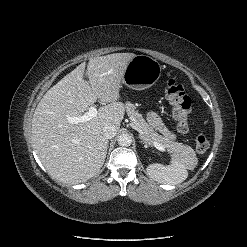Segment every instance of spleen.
Masks as SVG:
<instances>
[{"instance_id": "1", "label": "spleen", "mask_w": 247, "mask_h": 247, "mask_svg": "<svg viewBox=\"0 0 247 247\" xmlns=\"http://www.w3.org/2000/svg\"><path fill=\"white\" fill-rule=\"evenodd\" d=\"M193 162V158L176 157L169 165L152 163L147 167V174L158 183L177 185L187 179V169L192 167Z\"/></svg>"}]
</instances>
